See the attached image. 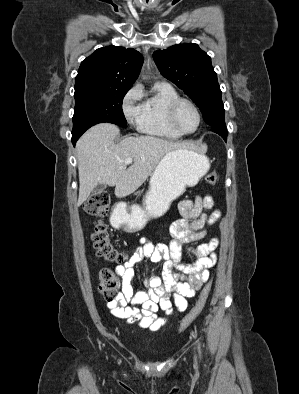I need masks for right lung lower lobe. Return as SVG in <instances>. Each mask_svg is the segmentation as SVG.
Listing matches in <instances>:
<instances>
[{
	"mask_svg": "<svg viewBox=\"0 0 299 394\" xmlns=\"http://www.w3.org/2000/svg\"><path fill=\"white\" fill-rule=\"evenodd\" d=\"M88 129V127L85 128H78V129H73L72 131V143L75 146L76 141L78 138Z\"/></svg>",
	"mask_w": 299,
	"mask_h": 394,
	"instance_id": "1",
	"label": "right lung lower lobe"
}]
</instances>
